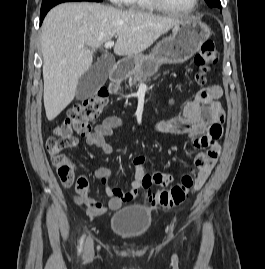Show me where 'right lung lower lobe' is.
<instances>
[{
	"mask_svg": "<svg viewBox=\"0 0 265 269\" xmlns=\"http://www.w3.org/2000/svg\"><path fill=\"white\" fill-rule=\"evenodd\" d=\"M75 1L97 2L94 0H43L42 6H41V13H40V24L42 23L47 12L55 5L63 3V2H75Z\"/></svg>",
	"mask_w": 265,
	"mask_h": 269,
	"instance_id": "obj_1",
	"label": "right lung lower lobe"
}]
</instances>
